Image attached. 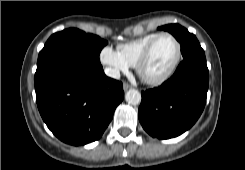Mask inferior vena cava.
Here are the masks:
<instances>
[{
    "label": "inferior vena cava",
    "instance_id": "1",
    "mask_svg": "<svg viewBox=\"0 0 245 170\" xmlns=\"http://www.w3.org/2000/svg\"><path fill=\"white\" fill-rule=\"evenodd\" d=\"M105 74L108 77L114 78V79H119L120 78V71L115 68H105L104 70Z\"/></svg>",
    "mask_w": 245,
    "mask_h": 170
}]
</instances>
